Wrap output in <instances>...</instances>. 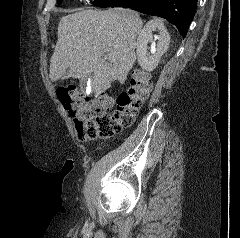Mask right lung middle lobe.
<instances>
[{
  "instance_id": "1",
  "label": "right lung middle lobe",
  "mask_w": 240,
  "mask_h": 238,
  "mask_svg": "<svg viewBox=\"0 0 240 238\" xmlns=\"http://www.w3.org/2000/svg\"><path fill=\"white\" fill-rule=\"evenodd\" d=\"M61 2H62V0H57V3H58V5H60V4H61Z\"/></svg>"
}]
</instances>
